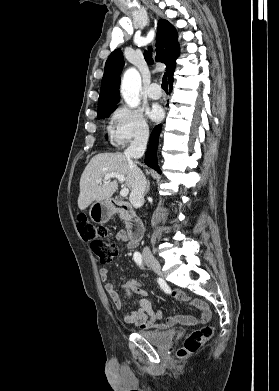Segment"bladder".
I'll return each mask as SVG.
<instances>
[{
    "label": "bladder",
    "instance_id": "obj_1",
    "mask_svg": "<svg viewBox=\"0 0 279 391\" xmlns=\"http://www.w3.org/2000/svg\"><path fill=\"white\" fill-rule=\"evenodd\" d=\"M139 336L147 340L154 346L165 347L171 344L176 335V330L167 331H151V330H140L137 332Z\"/></svg>",
    "mask_w": 279,
    "mask_h": 391
}]
</instances>
